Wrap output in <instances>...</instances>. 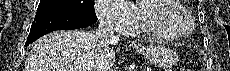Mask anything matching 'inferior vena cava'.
<instances>
[{
  "label": "inferior vena cava",
  "instance_id": "inferior-vena-cava-1",
  "mask_svg": "<svg viewBox=\"0 0 230 71\" xmlns=\"http://www.w3.org/2000/svg\"><path fill=\"white\" fill-rule=\"evenodd\" d=\"M97 38L103 43H115L118 41V38L114 35V30L112 26L101 19L99 21V26L95 32Z\"/></svg>",
  "mask_w": 230,
  "mask_h": 71
}]
</instances>
